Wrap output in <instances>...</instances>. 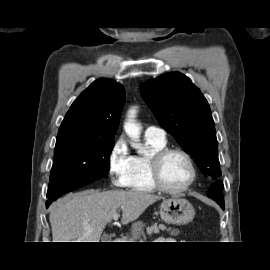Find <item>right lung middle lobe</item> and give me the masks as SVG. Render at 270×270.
<instances>
[{
    "mask_svg": "<svg viewBox=\"0 0 270 270\" xmlns=\"http://www.w3.org/2000/svg\"><path fill=\"white\" fill-rule=\"evenodd\" d=\"M114 139L57 137L48 200L103 177L110 167Z\"/></svg>",
    "mask_w": 270,
    "mask_h": 270,
    "instance_id": "right-lung-middle-lobe-1",
    "label": "right lung middle lobe"
}]
</instances>
